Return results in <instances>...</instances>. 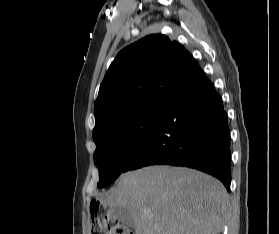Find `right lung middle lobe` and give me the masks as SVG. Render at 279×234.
<instances>
[{"label":"right lung middle lobe","mask_w":279,"mask_h":234,"mask_svg":"<svg viewBox=\"0 0 279 234\" xmlns=\"http://www.w3.org/2000/svg\"><path fill=\"white\" fill-rule=\"evenodd\" d=\"M165 107H145L122 114L105 123L94 136V161L99 169L98 187L113 182L147 139Z\"/></svg>","instance_id":"1"}]
</instances>
